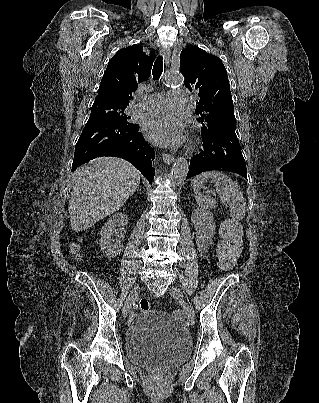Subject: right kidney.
I'll list each match as a JSON object with an SVG mask.
<instances>
[{
	"label": "right kidney",
	"instance_id": "right-kidney-1",
	"mask_svg": "<svg viewBox=\"0 0 319 403\" xmlns=\"http://www.w3.org/2000/svg\"><path fill=\"white\" fill-rule=\"evenodd\" d=\"M128 216L118 212L111 216L101 229L99 245L106 256L116 257L121 254L124 247L122 244V234L114 233L115 226L128 225Z\"/></svg>",
	"mask_w": 319,
	"mask_h": 403
}]
</instances>
